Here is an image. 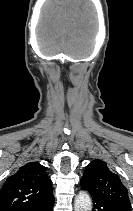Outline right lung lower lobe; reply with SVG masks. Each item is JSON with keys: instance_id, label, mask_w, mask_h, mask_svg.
<instances>
[{"instance_id": "right-lung-lower-lobe-1", "label": "right lung lower lobe", "mask_w": 133, "mask_h": 211, "mask_svg": "<svg viewBox=\"0 0 133 211\" xmlns=\"http://www.w3.org/2000/svg\"><path fill=\"white\" fill-rule=\"evenodd\" d=\"M53 202H54V197L42 204L36 205L35 207L31 208L29 211H53Z\"/></svg>"}]
</instances>
